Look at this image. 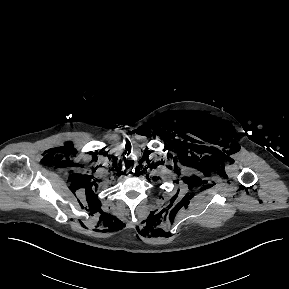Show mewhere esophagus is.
Segmentation results:
<instances>
[{
    "mask_svg": "<svg viewBox=\"0 0 289 289\" xmlns=\"http://www.w3.org/2000/svg\"><path fill=\"white\" fill-rule=\"evenodd\" d=\"M132 172H134V169H129L127 173H129V175H132Z\"/></svg>",
    "mask_w": 289,
    "mask_h": 289,
    "instance_id": "1",
    "label": "esophagus"
}]
</instances>
